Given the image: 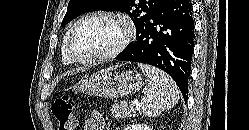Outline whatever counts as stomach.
I'll return each instance as SVG.
<instances>
[{"label": "stomach", "mask_w": 249, "mask_h": 130, "mask_svg": "<svg viewBox=\"0 0 249 130\" xmlns=\"http://www.w3.org/2000/svg\"><path fill=\"white\" fill-rule=\"evenodd\" d=\"M143 78L136 71L113 72L100 71L76 84V92L96 95L104 98H120L139 91Z\"/></svg>", "instance_id": "0dacf381"}]
</instances>
